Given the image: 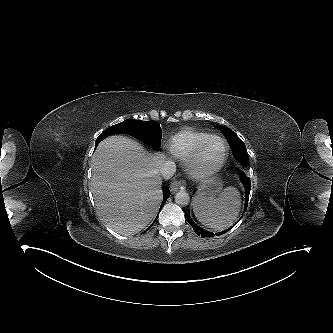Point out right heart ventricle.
Masks as SVG:
<instances>
[{
    "mask_svg": "<svg viewBox=\"0 0 333 333\" xmlns=\"http://www.w3.org/2000/svg\"><path fill=\"white\" fill-rule=\"evenodd\" d=\"M209 136L211 135L207 132L185 129L170 138L168 148L176 158L187 160Z\"/></svg>",
    "mask_w": 333,
    "mask_h": 333,
    "instance_id": "right-heart-ventricle-1",
    "label": "right heart ventricle"
}]
</instances>
